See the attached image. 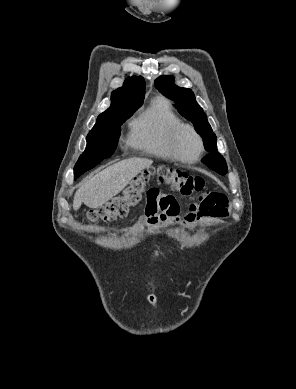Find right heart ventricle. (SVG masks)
<instances>
[{
    "label": "right heart ventricle",
    "instance_id": "right-heart-ventricle-1",
    "mask_svg": "<svg viewBox=\"0 0 296 389\" xmlns=\"http://www.w3.org/2000/svg\"><path fill=\"white\" fill-rule=\"evenodd\" d=\"M179 122L171 103L164 97H157L129 123L127 143L151 157L171 160L167 138L170 129Z\"/></svg>",
    "mask_w": 296,
    "mask_h": 389
}]
</instances>
